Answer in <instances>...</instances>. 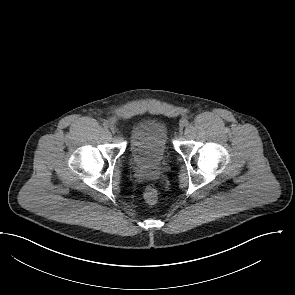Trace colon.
Listing matches in <instances>:
<instances>
[{
  "mask_svg": "<svg viewBox=\"0 0 295 295\" xmlns=\"http://www.w3.org/2000/svg\"><path fill=\"white\" fill-rule=\"evenodd\" d=\"M144 198L149 204L156 203L158 199V192L153 186H147L144 191Z\"/></svg>",
  "mask_w": 295,
  "mask_h": 295,
  "instance_id": "5ec220e1",
  "label": "colon"
}]
</instances>
